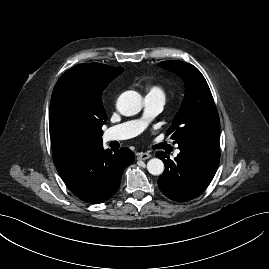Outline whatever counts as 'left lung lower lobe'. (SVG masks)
<instances>
[{
  "instance_id": "0a47b994",
  "label": "left lung lower lobe",
  "mask_w": 269,
  "mask_h": 269,
  "mask_svg": "<svg viewBox=\"0 0 269 269\" xmlns=\"http://www.w3.org/2000/svg\"><path fill=\"white\" fill-rule=\"evenodd\" d=\"M179 149L174 160L163 151L156 153L165 164L158 186L168 198L184 202L199 196L212 181L220 161L219 139L199 138Z\"/></svg>"
}]
</instances>
